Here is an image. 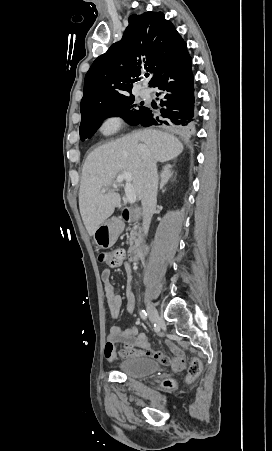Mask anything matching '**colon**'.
Here are the masks:
<instances>
[{"label":"colon","mask_w":272,"mask_h":451,"mask_svg":"<svg viewBox=\"0 0 272 451\" xmlns=\"http://www.w3.org/2000/svg\"><path fill=\"white\" fill-rule=\"evenodd\" d=\"M124 259V250L123 249H115L113 251H106L104 253H96L95 260L96 262H105L110 265L111 268H120L121 262ZM173 350H176V347H172ZM160 362L164 365V367H176L178 370L182 368H186L190 377H193L195 374H200L202 360L201 358H192L191 364H187L182 357L181 353H178L175 358H170L166 354H161L159 356ZM165 386L170 388L172 386L171 381L166 380L164 382Z\"/></svg>","instance_id":"1"}]
</instances>
